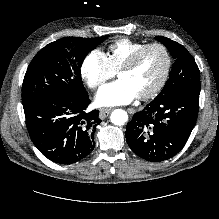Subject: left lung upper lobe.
I'll return each instance as SVG.
<instances>
[{
  "instance_id": "5c2ea615",
  "label": "left lung upper lobe",
  "mask_w": 219,
  "mask_h": 219,
  "mask_svg": "<svg viewBox=\"0 0 219 219\" xmlns=\"http://www.w3.org/2000/svg\"><path fill=\"white\" fill-rule=\"evenodd\" d=\"M170 51L175 62L169 79L155 99H162L187 87H200V71L192 55L179 43L166 37H156Z\"/></svg>"
}]
</instances>
